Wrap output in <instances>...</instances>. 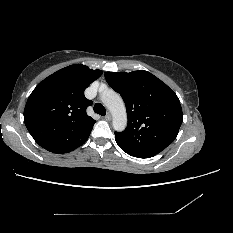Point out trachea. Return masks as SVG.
Masks as SVG:
<instances>
[{
  "label": "trachea",
  "mask_w": 233,
  "mask_h": 233,
  "mask_svg": "<svg viewBox=\"0 0 233 233\" xmlns=\"http://www.w3.org/2000/svg\"><path fill=\"white\" fill-rule=\"evenodd\" d=\"M94 112L97 113V114H100L101 116H105L106 115V109L100 103H96L94 105Z\"/></svg>",
  "instance_id": "3493384b"
}]
</instances>
